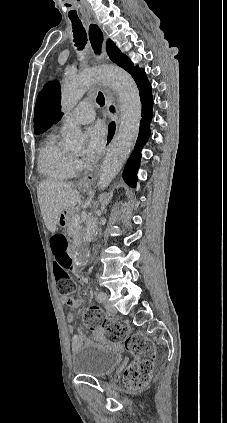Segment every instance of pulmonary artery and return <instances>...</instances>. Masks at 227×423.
I'll return each mask as SVG.
<instances>
[{
    "label": "pulmonary artery",
    "mask_w": 227,
    "mask_h": 423,
    "mask_svg": "<svg viewBox=\"0 0 227 423\" xmlns=\"http://www.w3.org/2000/svg\"><path fill=\"white\" fill-rule=\"evenodd\" d=\"M96 114L93 105L88 101L81 102L73 111L72 120L76 124H89L95 120Z\"/></svg>",
    "instance_id": "1"
}]
</instances>
